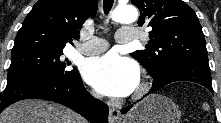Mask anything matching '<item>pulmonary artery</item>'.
Instances as JSON below:
<instances>
[{
	"mask_svg": "<svg viewBox=\"0 0 221 123\" xmlns=\"http://www.w3.org/2000/svg\"><path fill=\"white\" fill-rule=\"evenodd\" d=\"M138 37L136 31L131 28H121L116 34L118 43L126 44L136 40ZM108 48V42L102 38L93 37L89 41L79 45L77 50L84 55H95L105 51Z\"/></svg>",
	"mask_w": 221,
	"mask_h": 123,
	"instance_id": "1",
	"label": "pulmonary artery"
}]
</instances>
